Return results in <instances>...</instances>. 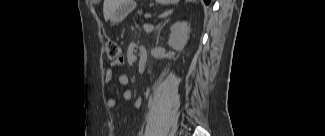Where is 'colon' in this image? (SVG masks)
<instances>
[{"label":"colon","instance_id":"1","mask_svg":"<svg viewBox=\"0 0 325 136\" xmlns=\"http://www.w3.org/2000/svg\"><path fill=\"white\" fill-rule=\"evenodd\" d=\"M107 57L110 60L119 61L122 60V48L116 42H109L106 46Z\"/></svg>","mask_w":325,"mask_h":136}]
</instances>
